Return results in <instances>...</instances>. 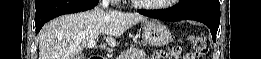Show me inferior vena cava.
Returning <instances> with one entry per match:
<instances>
[{
	"mask_svg": "<svg viewBox=\"0 0 261 59\" xmlns=\"http://www.w3.org/2000/svg\"><path fill=\"white\" fill-rule=\"evenodd\" d=\"M102 7L103 8H108V6H109V1L108 0H102Z\"/></svg>",
	"mask_w": 261,
	"mask_h": 59,
	"instance_id": "obj_1",
	"label": "inferior vena cava"
}]
</instances>
